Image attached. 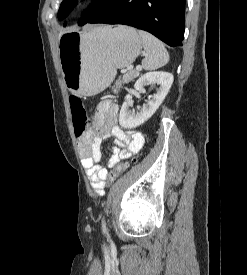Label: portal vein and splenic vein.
Segmentation results:
<instances>
[{"label":"portal vein and splenic vein","mask_w":247,"mask_h":275,"mask_svg":"<svg viewBox=\"0 0 247 275\" xmlns=\"http://www.w3.org/2000/svg\"><path fill=\"white\" fill-rule=\"evenodd\" d=\"M136 70H137V71H141V70H142V67H141V66H137V67H136Z\"/></svg>","instance_id":"obj_1"}]
</instances>
